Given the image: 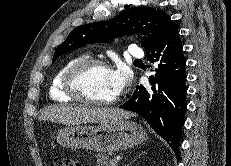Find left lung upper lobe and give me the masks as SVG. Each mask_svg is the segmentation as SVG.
Here are the masks:
<instances>
[{
  "instance_id": "1",
  "label": "left lung upper lobe",
  "mask_w": 231,
  "mask_h": 166,
  "mask_svg": "<svg viewBox=\"0 0 231 166\" xmlns=\"http://www.w3.org/2000/svg\"><path fill=\"white\" fill-rule=\"evenodd\" d=\"M176 25L169 15L151 7L131 8L107 20L82 25L73 29L66 40L59 45L52 62L57 58L86 44L110 42L124 35L138 34L143 38L146 52L159 43L167 32Z\"/></svg>"
}]
</instances>
